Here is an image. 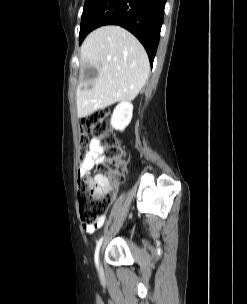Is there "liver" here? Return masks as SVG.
Here are the masks:
<instances>
[{
  "label": "liver",
  "mask_w": 247,
  "mask_h": 304,
  "mask_svg": "<svg viewBox=\"0 0 247 304\" xmlns=\"http://www.w3.org/2000/svg\"><path fill=\"white\" fill-rule=\"evenodd\" d=\"M80 62L94 67L98 76L91 88L81 77L76 91L79 118L116 102L133 100L150 69L144 47L119 26H103L91 32L81 46Z\"/></svg>",
  "instance_id": "liver-1"
}]
</instances>
